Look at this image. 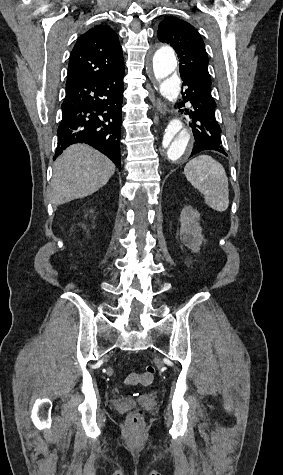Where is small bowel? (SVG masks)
Segmentation results:
<instances>
[{
  "label": "small bowel",
  "instance_id": "small-bowel-1",
  "mask_svg": "<svg viewBox=\"0 0 283 475\" xmlns=\"http://www.w3.org/2000/svg\"><path fill=\"white\" fill-rule=\"evenodd\" d=\"M126 377H127V379H129V380H133V379H134V380H137V379H139V378L142 377V374L139 373V372H137V371H134V372H133V371H129V372H127V374H126ZM128 383H129V382H128ZM136 383H141V382H140V381H137ZM141 384H144V383H141Z\"/></svg>",
  "mask_w": 283,
  "mask_h": 475
}]
</instances>
